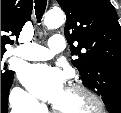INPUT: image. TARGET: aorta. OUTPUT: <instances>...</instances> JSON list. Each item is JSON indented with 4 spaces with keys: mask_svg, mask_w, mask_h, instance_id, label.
Here are the masks:
<instances>
[{
    "mask_svg": "<svg viewBox=\"0 0 121 113\" xmlns=\"http://www.w3.org/2000/svg\"><path fill=\"white\" fill-rule=\"evenodd\" d=\"M65 15L60 9H53L46 13L44 24L48 29H55L64 23Z\"/></svg>",
    "mask_w": 121,
    "mask_h": 113,
    "instance_id": "1",
    "label": "aorta"
}]
</instances>
